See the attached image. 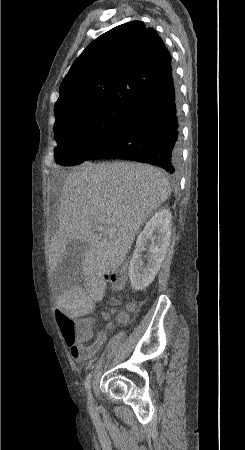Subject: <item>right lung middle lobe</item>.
<instances>
[{"mask_svg":"<svg viewBox=\"0 0 245 450\" xmlns=\"http://www.w3.org/2000/svg\"><path fill=\"white\" fill-rule=\"evenodd\" d=\"M132 107L108 104L56 116L54 157L62 166L82 163L102 152L123 133Z\"/></svg>","mask_w":245,"mask_h":450,"instance_id":"dd1d6c3e","label":"right lung middle lobe"}]
</instances>
